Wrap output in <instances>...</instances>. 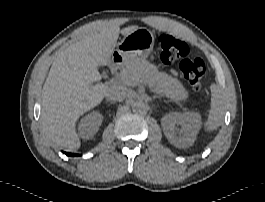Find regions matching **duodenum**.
I'll return each mask as SVG.
<instances>
[{
	"mask_svg": "<svg viewBox=\"0 0 265 202\" xmlns=\"http://www.w3.org/2000/svg\"><path fill=\"white\" fill-rule=\"evenodd\" d=\"M124 61V57L119 54L115 53L112 57V60L110 62V70L113 74L117 73L119 68L121 67L122 63Z\"/></svg>",
	"mask_w": 265,
	"mask_h": 202,
	"instance_id": "410a0bca",
	"label": "duodenum"
}]
</instances>
